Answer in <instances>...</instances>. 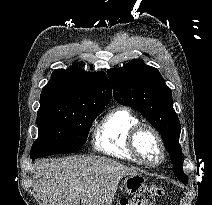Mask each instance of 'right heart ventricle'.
Instances as JSON below:
<instances>
[{"label":"right heart ventricle","mask_w":212,"mask_h":205,"mask_svg":"<svg viewBox=\"0 0 212 205\" xmlns=\"http://www.w3.org/2000/svg\"><path fill=\"white\" fill-rule=\"evenodd\" d=\"M138 124V118L129 109L117 107L110 110L94 129V149L119 159L140 162L128 143L130 132Z\"/></svg>","instance_id":"e07e8e85"}]
</instances>
